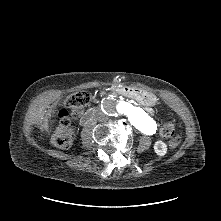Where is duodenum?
I'll list each match as a JSON object with an SVG mask.
<instances>
[{"label":"duodenum","instance_id":"duodenum-1","mask_svg":"<svg viewBox=\"0 0 221 221\" xmlns=\"http://www.w3.org/2000/svg\"><path fill=\"white\" fill-rule=\"evenodd\" d=\"M117 93L118 94H122V95H126V94H131L132 93V90L128 87H123V88H119L117 90ZM96 114V109L95 108H91L89 109L84 115L83 117L81 118L80 120V123L81 125H86L88 124L92 119L93 117L95 116Z\"/></svg>","mask_w":221,"mask_h":221}]
</instances>
